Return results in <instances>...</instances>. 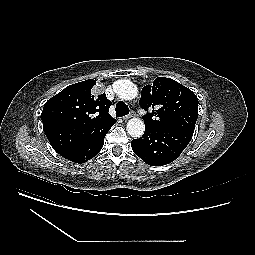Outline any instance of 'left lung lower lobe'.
Returning a JSON list of instances; mask_svg holds the SVG:
<instances>
[{
	"mask_svg": "<svg viewBox=\"0 0 255 255\" xmlns=\"http://www.w3.org/2000/svg\"><path fill=\"white\" fill-rule=\"evenodd\" d=\"M192 136L193 133L186 131L145 126L143 136L133 139L131 147L146 164L162 166L173 162Z\"/></svg>",
	"mask_w": 255,
	"mask_h": 255,
	"instance_id": "left-lung-lower-lobe-1",
	"label": "left lung lower lobe"
}]
</instances>
